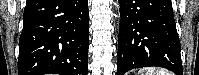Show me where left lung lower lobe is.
<instances>
[{
  "mask_svg": "<svg viewBox=\"0 0 199 75\" xmlns=\"http://www.w3.org/2000/svg\"><path fill=\"white\" fill-rule=\"evenodd\" d=\"M117 75L158 66L183 75L171 0H119Z\"/></svg>",
  "mask_w": 199,
  "mask_h": 75,
  "instance_id": "0a47b994",
  "label": "left lung lower lobe"
}]
</instances>
